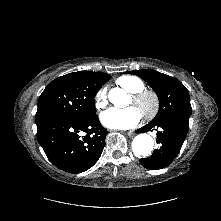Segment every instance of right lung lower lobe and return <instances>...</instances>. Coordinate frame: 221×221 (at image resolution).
Returning <instances> with one entry per match:
<instances>
[{
    "label": "right lung lower lobe",
    "instance_id": "obj_1",
    "mask_svg": "<svg viewBox=\"0 0 221 221\" xmlns=\"http://www.w3.org/2000/svg\"><path fill=\"white\" fill-rule=\"evenodd\" d=\"M85 133V136H80ZM107 130L98 116L85 120L59 119L37 127V138L48 159L59 169L81 173L100 158Z\"/></svg>",
    "mask_w": 221,
    "mask_h": 221
}]
</instances>
